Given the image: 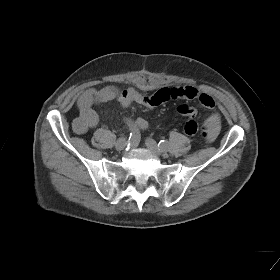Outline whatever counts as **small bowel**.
Segmentation results:
<instances>
[{
  "label": "small bowel",
  "mask_w": 280,
  "mask_h": 280,
  "mask_svg": "<svg viewBox=\"0 0 280 280\" xmlns=\"http://www.w3.org/2000/svg\"><path fill=\"white\" fill-rule=\"evenodd\" d=\"M115 98V93L110 87L102 89H89L85 91L78 100L79 117L77 120L81 123V129L74 130L78 134L85 133L89 128H93L98 123L97 113L93 109L94 104L104 103ZM174 99L196 100L207 108L215 106L214 99L205 93H200L197 89L190 86L182 87H165L157 90L151 95L140 93L134 87H128L121 91L116 97V101L122 108L128 107L132 103H138L147 108H154L166 101ZM180 113L190 118L197 114L196 109L188 104L179 107ZM139 130H145L148 122L143 118H137L133 122ZM208 129L207 140L214 139L221 127V116L218 113L211 114L204 122Z\"/></svg>",
  "instance_id": "c3829d8e"
}]
</instances>
